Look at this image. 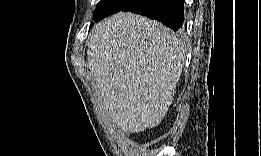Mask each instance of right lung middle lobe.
Segmentation results:
<instances>
[{
    "label": "right lung middle lobe",
    "mask_w": 261,
    "mask_h": 156,
    "mask_svg": "<svg viewBox=\"0 0 261 156\" xmlns=\"http://www.w3.org/2000/svg\"><path fill=\"white\" fill-rule=\"evenodd\" d=\"M131 1L132 0H101L96 7L93 20L98 22L106 16L120 11ZM91 26H93V24Z\"/></svg>",
    "instance_id": "dd1d6c3e"
}]
</instances>
